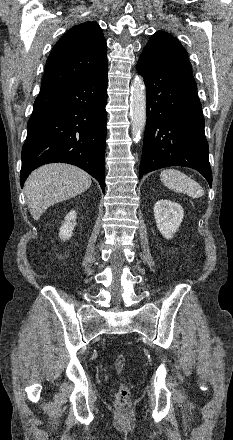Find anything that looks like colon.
<instances>
[{"label":"colon","mask_w":233,"mask_h":440,"mask_svg":"<svg viewBox=\"0 0 233 440\" xmlns=\"http://www.w3.org/2000/svg\"><path fill=\"white\" fill-rule=\"evenodd\" d=\"M126 365V357L123 354H119L114 361V366L119 374H122ZM131 403V391L129 386L122 382L117 391L115 404L118 409L126 410Z\"/></svg>","instance_id":"colon-1"}]
</instances>
